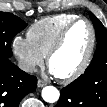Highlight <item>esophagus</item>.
<instances>
[{
  "instance_id": "esophagus-1",
  "label": "esophagus",
  "mask_w": 107,
  "mask_h": 107,
  "mask_svg": "<svg viewBox=\"0 0 107 107\" xmlns=\"http://www.w3.org/2000/svg\"><path fill=\"white\" fill-rule=\"evenodd\" d=\"M37 85L38 87H44L45 85H47V82L42 79H38Z\"/></svg>"
}]
</instances>
